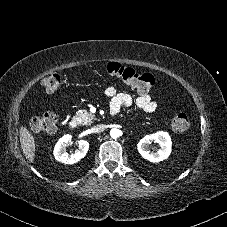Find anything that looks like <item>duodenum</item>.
Returning <instances> with one entry per match:
<instances>
[{
	"instance_id": "duodenum-1",
	"label": "duodenum",
	"mask_w": 227,
	"mask_h": 227,
	"mask_svg": "<svg viewBox=\"0 0 227 227\" xmlns=\"http://www.w3.org/2000/svg\"><path fill=\"white\" fill-rule=\"evenodd\" d=\"M117 112L115 110L110 111V116L114 117L116 116ZM69 127L73 130L77 129L79 127V122L76 118H72L69 122Z\"/></svg>"
}]
</instances>
